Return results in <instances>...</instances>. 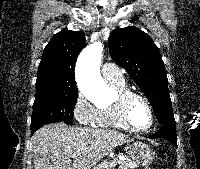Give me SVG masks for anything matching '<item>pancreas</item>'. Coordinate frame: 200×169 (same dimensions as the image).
I'll list each match as a JSON object with an SVG mask.
<instances>
[{
    "instance_id": "cf45deb5",
    "label": "pancreas",
    "mask_w": 200,
    "mask_h": 169,
    "mask_svg": "<svg viewBox=\"0 0 200 169\" xmlns=\"http://www.w3.org/2000/svg\"><path fill=\"white\" fill-rule=\"evenodd\" d=\"M113 162L118 164L117 169H135L137 167V165L129 159L119 160L117 158H114L113 160H110L109 162H103L102 164H99L94 169H108V165H110Z\"/></svg>"
}]
</instances>
